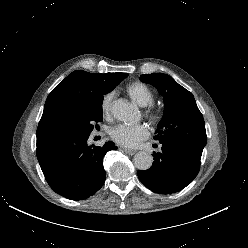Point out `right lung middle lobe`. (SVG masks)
Returning a JSON list of instances; mask_svg holds the SVG:
<instances>
[{
    "label": "right lung middle lobe",
    "instance_id": "obj_1",
    "mask_svg": "<svg viewBox=\"0 0 248 248\" xmlns=\"http://www.w3.org/2000/svg\"><path fill=\"white\" fill-rule=\"evenodd\" d=\"M127 76V73H121L117 80L110 84L101 86L84 107L72 112H63L57 118L46 121L41 126L38 125L37 135L54 128H65L83 133H91L94 128V124L103 120V96L111 92Z\"/></svg>",
    "mask_w": 248,
    "mask_h": 248
}]
</instances>
